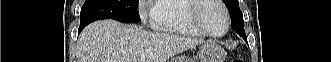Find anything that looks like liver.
<instances>
[{"mask_svg":"<svg viewBox=\"0 0 331 62\" xmlns=\"http://www.w3.org/2000/svg\"><path fill=\"white\" fill-rule=\"evenodd\" d=\"M201 42L168 32H148L138 25L100 20L82 31L77 48L79 62H166Z\"/></svg>","mask_w":331,"mask_h":62,"instance_id":"liver-1","label":"liver"}]
</instances>
